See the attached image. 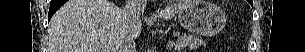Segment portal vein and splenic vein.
Returning a JSON list of instances; mask_svg holds the SVG:
<instances>
[{
    "mask_svg": "<svg viewBox=\"0 0 305 52\" xmlns=\"http://www.w3.org/2000/svg\"><path fill=\"white\" fill-rule=\"evenodd\" d=\"M169 45H170L171 47H173V46L175 45V42H174V41H171V42L169 43Z\"/></svg>",
    "mask_w": 305,
    "mask_h": 52,
    "instance_id": "obj_1",
    "label": "portal vein and splenic vein"
}]
</instances>
